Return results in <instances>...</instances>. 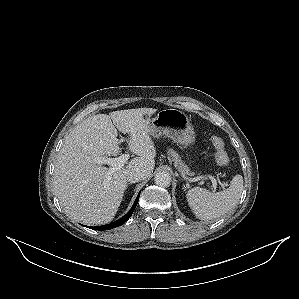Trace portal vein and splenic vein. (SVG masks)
Instances as JSON below:
<instances>
[{"label": "portal vein and splenic vein", "instance_id": "18ae733b", "mask_svg": "<svg viewBox=\"0 0 299 299\" xmlns=\"http://www.w3.org/2000/svg\"><path fill=\"white\" fill-rule=\"evenodd\" d=\"M128 159H129V154H123L117 158L100 157L97 159V163L110 165L111 168L109 171L114 172V171H117V170H120L121 168H123L124 164L127 162ZM182 176L184 179L191 181V182L199 181L204 178V177H196V178L189 179L184 174ZM207 177L212 181V186L215 189L217 186L216 179L213 176H207ZM207 177H205V178H207Z\"/></svg>", "mask_w": 299, "mask_h": 299}]
</instances>
